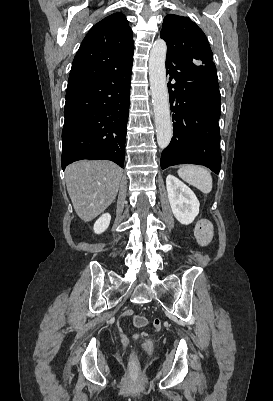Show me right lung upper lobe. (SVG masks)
I'll use <instances>...</instances> for the list:
<instances>
[{"label": "right lung upper lobe", "mask_w": 273, "mask_h": 401, "mask_svg": "<svg viewBox=\"0 0 273 401\" xmlns=\"http://www.w3.org/2000/svg\"><path fill=\"white\" fill-rule=\"evenodd\" d=\"M132 30L122 13L95 24L85 36L70 71L67 92L101 79L110 69L133 60Z\"/></svg>", "instance_id": "obj_1"}]
</instances>
